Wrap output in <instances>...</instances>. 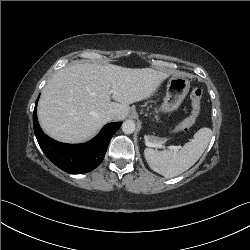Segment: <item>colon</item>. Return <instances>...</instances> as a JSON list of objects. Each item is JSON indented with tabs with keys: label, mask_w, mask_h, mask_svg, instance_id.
<instances>
[{
	"label": "colon",
	"mask_w": 250,
	"mask_h": 250,
	"mask_svg": "<svg viewBox=\"0 0 250 250\" xmlns=\"http://www.w3.org/2000/svg\"><path fill=\"white\" fill-rule=\"evenodd\" d=\"M203 96V91L200 88H195L191 92V113L184 119L180 124H178L174 129V133L184 132L190 129L197 120V117L201 109V99Z\"/></svg>",
	"instance_id": "1"
}]
</instances>
